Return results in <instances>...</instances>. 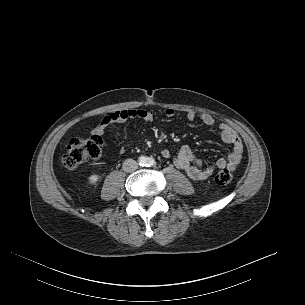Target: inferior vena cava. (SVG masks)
Wrapping results in <instances>:
<instances>
[{
  "label": "inferior vena cava",
  "instance_id": "obj_1",
  "mask_svg": "<svg viewBox=\"0 0 305 305\" xmlns=\"http://www.w3.org/2000/svg\"><path fill=\"white\" fill-rule=\"evenodd\" d=\"M138 163L133 159H127L123 162L122 168L125 172H133L137 169Z\"/></svg>",
  "mask_w": 305,
  "mask_h": 305
}]
</instances>
